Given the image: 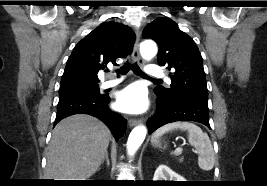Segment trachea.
<instances>
[{
    "label": "trachea",
    "mask_w": 267,
    "mask_h": 186,
    "mask_svg": "<svg viewBox=\"0 0 267 186\" xmlns=\"http://www.w3.org/2000/svg\"><path fill=\"white\" fill-rule=\"evenodd\" d=\"M129 70H132L136 75H143L145 76L142 71L140 70L139 66L137 65V62L134 64H129L127 61L118 71V74H126ZM146 77V76H145ZM156 81H161V79H154Z\"/></svg>",
    "instance_id": "trachea-1"
}]
</instances>
